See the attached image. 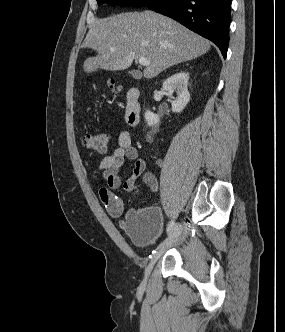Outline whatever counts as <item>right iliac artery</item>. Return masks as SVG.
<instances>
[{
	"label": "right iliac artery",
	"instance_id": "1",
	"mask_svg": "<svg viewBox=\"0 0 285 332\" xmlns=\"http://www.w3.org/2000/svg\"><path fill=\"white\" fill-rule=\"evenodd\" d=\"M174 227V221H170L167 225V232H170L172 230V228Z\"/></svg>",
	"mask_w": 285,
	"mask_h": 332
}]
</instances>
